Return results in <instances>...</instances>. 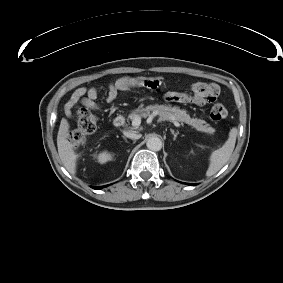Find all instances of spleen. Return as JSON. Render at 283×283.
<instances>
[{
    "mask_svg": "<svg viewBox=\"0 0 283 283\" xmlns=\"http://www.w3.org/2000/svg\"><path fill=\"white\" fill-rule=\"evenodd\" d=\"M236 137H237V129L232 128L229 132V137L227 141L224 143V145L221 148L211 153L209 159L210 161L209 167L206 172V175L208 177L214 175L227 163L234 150Z\"/></svg>",
    "mask_w": 283,
    "mask_h": 283,
    "instance_id": "spleen-1",
    "label": "spleen"
}]
</instances>
